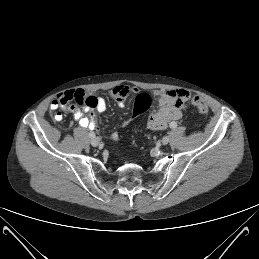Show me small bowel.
<instances>
[{
	"instance_id": "small-bowel-1",
	"label": "small bowel",
	"mask_w": 259,
	"mask_h": 259,
	"mask_svg": "<svg viewBox=\"0 0 259 259\" xmlns=\"http://www.w3.org/2000/svg\"><path fill=\"white\" fill-rule=\"evenodd\" d=\"M137 91L135 87L118 85L112 89L111 97L117 101L120 107H123L127 96ZM155 95L158 97L159 107L150 113L147 120V128L150 130H164L168 127L169 123L182 117L190 93L183 89H177L156 91ZM73 100L77 105H70L66 110L73 114L74 119L81 127L95 129L97 127V118L93 112H104L107 108L106 100L92 94L86 95L82 89H77L60 94L52 102L51 106L52 108L58 106L66 107ZM85 112H90V116L86 117L84 115ZM112 138L116 139L117 133H113Z\"/></svg>"
}]
</instances>
